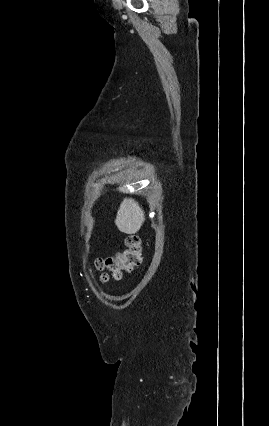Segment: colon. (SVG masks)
Here are the masks:
<instances>
[{"instance_id":"obj_1","label":"colon","mask_w":269,"mask_h":426,"mask_svg":"<svg viewBox=\"0 0 269 426\" xmlns=\"http://www.w3.org/2000/svg\"><path fill=\"white\" fill-rule=\"evenodd\" d=\"M141 252L140 238L134 235L128 236L124 250L96 260L94 266L100 273V279L102 281L121 279L125 272L131 271L140 264Z\"/></svg>"}]
</instances>
